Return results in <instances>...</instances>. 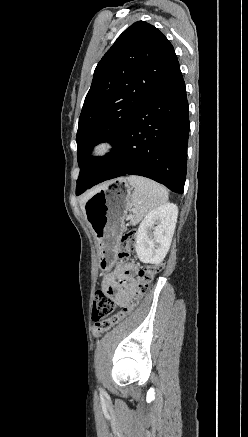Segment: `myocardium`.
I'll return each instance as SVG.
<instances>
[{
  "instance_id": "f54148a6",
  "label": "myocardium",
  "mask_w": 248,
  "mask_h": 437,
  "mask_svg": "<svg viewBox=\"0 0 248 437\" xmlns=\"http://www.w3.org/2000/svg\"><path fill=\"white\" fill-rule=\"evenodd\" d=\"M115 145L111 140L103 139L94 143L90 149L89 157L92 162H101L111 155Z\"/></svg>"
}]
</instances>
